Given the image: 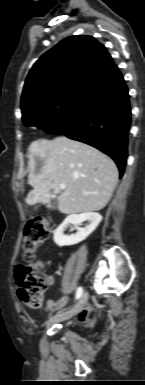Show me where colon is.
<instances>
[{"label":"colon","mask_w":145,"mask_h":385,"mask_svg":"<svg viewBox=\"0 0 145 385\" xmlns=\"http://www.w3.org/2000/svg\"><path fill=\"white\" fill-rule=\"evenodd\" d=\"M48 236L49 224L41 217L29 221L23 233L22 249L28 264L16 269L15 280L19 299L32 309L42 306L44 295L50 286L49 278L42 272L41 265L34 262L36 248Z\"/></svg>","instance_id":"1"}]
</instances>
